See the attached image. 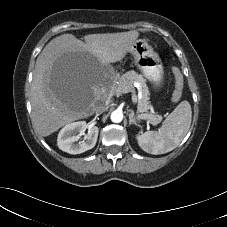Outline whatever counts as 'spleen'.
Listing matches in <instances>:
<instances>
[{
  "label": "spleen",
  "instance_id": "spleen-1",
  "mask_svg": "<svg viewBox=\"0 0 227 227\" xmlns=\"http://www.w3.org/2000/svg\"><path fill=\"white\" fill-rule=\"evenodd\" d=\"M192 120L191 105L182 101L164 120L158 131H147L137 136L140 148L153 155L174 150L189 131Z\"/></svg>",
  "mask_w": 227,
  "mask_h": 227
}]
</instances>
